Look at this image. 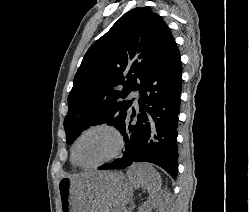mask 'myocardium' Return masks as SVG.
I'll return each instance as SVG.
<instances>
[{
    "instance_id": "myocardium-1",
    "label": "myocardium",
    "mask_w": 249,
    "mask_h": 212,
    "mask_svg": "<svg viewBox=\"0 0 249 212\" xmlns=\"http://www.w3.org/2000/svg\"><path fill=\"white\" fill-rule=\"evenodd\" d=\"M109 131L111 132L117 139V149L115 151V153L113 155H111L110 157L106 158L105 160L96 163V164H92V165H84L81 164L78 160H77V156H76V152H77V147L79 142L88 134L96 132V131ZM127 147V138L126 135L124 134V132L115 124L110 123V122H101V123H97L94 124L90 127H88L87 129H85L83 132H81V134L75 139L73 146H72V161L73 163L81 168V169H97L100 168L104 165H107L119 158L122 157V155L125 152V149Z\"/></svg>"
}]
</instances>
